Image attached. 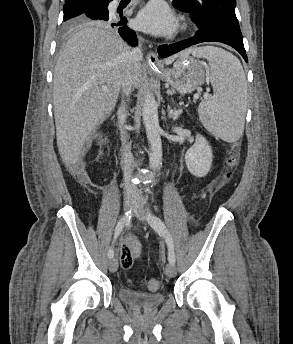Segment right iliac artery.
Returning <instances> with one entry per match:
<instances>
[{
	"label": "right iliac artery",
	"mask_w": 293,
	"mask_h": 344,
	"mask_svg": "<svg viewBox=\"0 0 293 344\" xmlns=\"http://www.w3.org/2000/svg\"><path fill=\"white\" fill-rule=\"evenodd\" d=\"M133 217V212L131 210L127 211L123 217L119 220V222L116 225L115 231H114V237L112 244L116 241L122 230L126 225H128L131 222V219ZM108 257L111 259L114 257V250L113 247L111 246L108 250Z\"/></svg>",
	"instance_id": "82829eb1"
}]
</instances>
